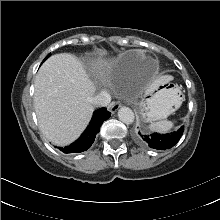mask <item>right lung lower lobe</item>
I'll return each mask as SVG.
<instances>
[{
  "mask_svg": "<svg viewBox=\"0 0 220 220\" xmlns=\"http://www.w3.org/2000/svg\"><path fill=\"white\" fill-rule=\"evenodd\" d=\"M111 113L106 108H100L93 114V118L83 134L71 145L60 150L64 153H78L86 151L93 144L96 134L99 132L103 121L110 117Z\"/></svg>",
  "mask_w": 220,
  "mask_h": 220,
  "instance_id": "98d812e1",
  "label": "right lung lower lobe"
}]
</instances>
